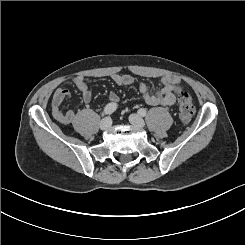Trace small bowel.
<instances>
[{"label":"small bowel","mask_w":245,"mask_h":245,"mask_svg":"<svg viewBox=\"0 0 245 245\" xmlns=\"http://www.w3.org/2000/svg\"><path fill=\"white\" fill-rule=\"evenodd\" d=\"M112 80L119 86H130L134 83L132 76L115 73ZM76 89L80 92L84 102H89L91 93L88 83L83 76H77L72 80ZM163 87L159 90L151 89L146 83L140 82L138 88L146 104L150 106H171L176 102L175 88L180 83L179 77L167 74L161 77ZM70 97L65 88H57L52 98V113L54 118L65 125L71 124L75 118L73 110H63L62 105ZM119 96L115 92L109 94V104H117Z\"/></svg>","instance_id":"1"}]
</instances>
